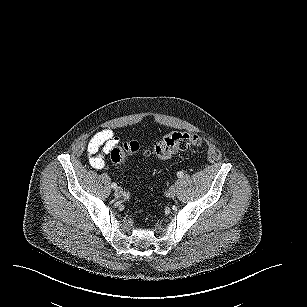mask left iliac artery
I'll use <instances>...</instances> for the list:
<instances>
[{"label": "left iliac artery", "instance_id": "obj_1", "mask_svg": "<svg viewBox=\"0 0 307 307\" xmlns=\"http://www.w3.org/2000/svg\"><path fill=\"white\" fill-rule=\"evenodd\" d=\"M183 175H184V173H183L182 171H180V172L177 173V176H178L179 178L183 177Z\"/></svg>", "mask_w": 307, "mask_h": 307}]
</instances>
